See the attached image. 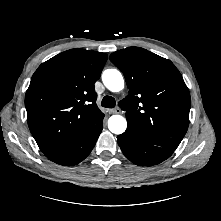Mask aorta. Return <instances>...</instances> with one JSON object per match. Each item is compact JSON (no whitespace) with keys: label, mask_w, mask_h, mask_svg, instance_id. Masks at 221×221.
I'll return each mask as SVG.
<instances>
[{"label":"aorta","mask_w":221,"mask_h":221,"mask_svg":"<svg viewBox=\"0 0 221 221\" xmlns=\"http://www.w3.org/2000/svg\"><path fill=\"white\" fill-rule=\"evenodd\" d=\"M105 87L112 92H119L124 88V79L117 69H107L102 74ZM108 128L114 134H122L127 128V121L121 115H112L108 119Z\"/></svg>","instance_id":"obj_1"}]
</instances>
